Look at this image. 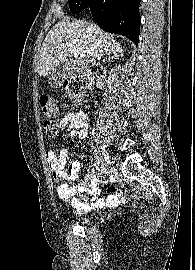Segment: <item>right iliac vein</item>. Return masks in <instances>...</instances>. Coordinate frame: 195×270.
Wrapping results in <instances>:
<instances>
[{"mask_svg": "<svg viewBox=\"0 0 195 270\" xmlns=\"http://www.w3.org/2000/svg\"><path fill=\"white\" fill-rule=\"evenodd\" d=\"M109 157L107 155V153L105 152L104 149H102L101 152V164L99 166V171L101 172V174H105L106 173V169L109 168Z\"/></svg>", "mask_w": 195, "mask_h": 270, "instance_id": "right-iliac-vein-1", "label": "right iliac vein"}]
</instances>
